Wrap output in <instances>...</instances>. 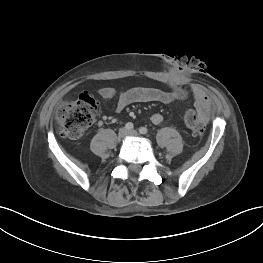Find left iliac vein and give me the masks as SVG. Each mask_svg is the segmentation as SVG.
<instances>
[{"mask_svg":"<svg viewBox=\"0 0 263 263\" xmlns=\"http://www.w3.org/2000/svg\"><path fill=\"white\" fill-rule=\"evenodd\" d=\"M128 134H129L130 136H138V132L135 131V130L129 131Z\"/></svg>","mask_w":263,"mask_h":263,"instance_id":"obj_1","label":"left iliac vein"}]
</instances>
